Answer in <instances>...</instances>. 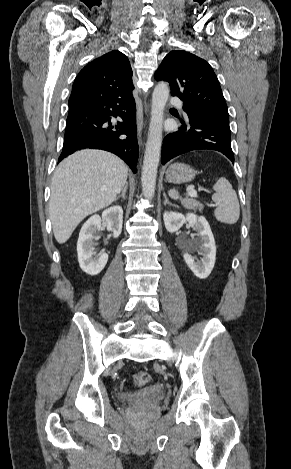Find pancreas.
<instances>
[{
    "label": "pancreas",
    "mask_w": 291,
    "mask_h": 469,
    "mask_svg": "<svg viewBox=\"0 0 291 469\" xmlns=\"http://www.w3.org/2000/svg\"><path fill=\"white\" fill-rule=\"evenodd\" d=\"M181 204L187 208V209H191V210H196V209H199L200 211L203 210L204 206L199 203L198 201H196L195 199L193 198H185V199H182L181 200Z\"/></svg>",
    "instance_id": "pancreas-1"
}]
</instances>
